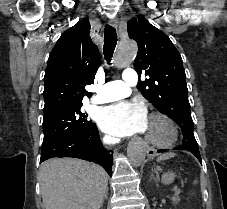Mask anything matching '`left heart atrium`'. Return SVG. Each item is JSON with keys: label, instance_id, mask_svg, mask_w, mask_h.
I'll return each mask as SVG.
<instances>
[{"label": "left heart atrium", "instance_id": "left-heart-atrium-1", "mask_svg": "<svg viewBox=\"0 0 227 209\" xmlns=\"http://www.w3.org/2000/svg\"><path fill=\"white\" fill-rule=\"evenodd\" d=\"M100 129L112 136L128 137L141 133L148 124L143 100H122L103 107L97 115Z\"/></svg>", "mask_w": 227, "mask_h": 209}]
</instances>
